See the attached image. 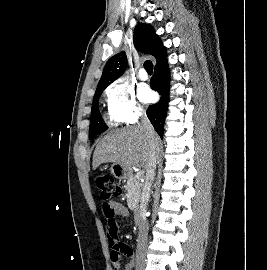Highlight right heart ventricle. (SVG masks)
Masks as SVG:
<instances>
[{
  "label": "right heart ventricle",
  "instance_id": "1",
  "mask_svg": "<svg viewBox=\"0 0 267 270\" xmlns=\"http://www.w3.org/2000/svg\"><path fill=\"white\" fill-rule=\"evenodd\" d=\"M110 123H111L112 125H116L118 122H116L115 120H113V119L110 117Z\"/></svg>",
  "mask_w": 267,
  "mask_h": 270
}]
</instances>
